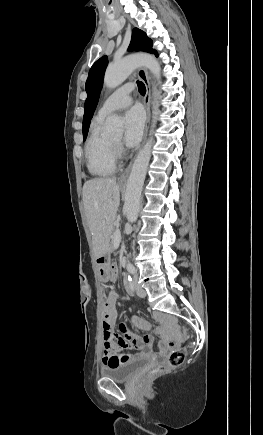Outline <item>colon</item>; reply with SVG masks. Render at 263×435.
<instances>
[{
  "label": "colon",
  "instance_id": "obj_1",
  "mask_svg": "<svg viewBox=\"0 0 263 435\" xmlns=\"http://www.w3.org/2000/svg\"><path fill=\"white\" fill-rule=\"evenodd\" d=\"M101 296L104 297L103 292H101ZM103 304H104V302H103ZM178 328L182 330L183 339H188L189 335H188L187 327H183L182 324H179ZM101 335L104 339V341L102 343L103 350H112L114 339H115L114 328H102ZM183 360H184V352L182 350L174 351L169 355L168 360L166 362L160 363V364L156 365L155 367H153L148 372V377L157 376V375L161 374L162 372H164L168 367L177 366V365L181 364L183 362Z\"/></svg>",
  "mask_w": 263,
  "mask_h": 435
}]
</instances>
